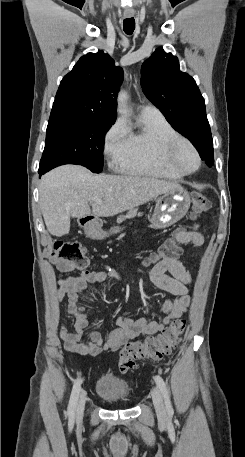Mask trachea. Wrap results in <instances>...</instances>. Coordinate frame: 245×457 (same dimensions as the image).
<instances>
[{"label": "trachea", "mask_w": 245, "mask_h": 457, "mask_svg": "<svg viewBox=\"0 0 245 457\" xmlns=\"http://www.w3.org/2000/svg\"><path fill=\"white\" fill-rule=\"evenodd\" d=\"M123 29L127 35H132L135 29V20L134 18H125L123 22Z\"/></svg>", "instance_id": "3493384b"}]
</instances>
